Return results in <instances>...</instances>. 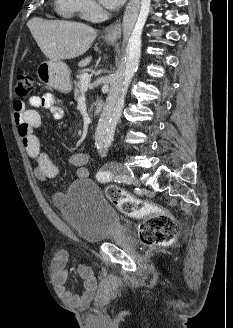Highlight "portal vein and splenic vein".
<instances>
[{"label": "portal vein and splenic vein", "instance_id": "18ae733b", "mask_svg": "<svg viewBox=\"0 0 233 328\" xmlns=\"http://www.w3.org/2000/svg\"><path fill=\"white\" fill-rule=\"evenodd\" d=\"M90 81H91V76L86 73H83L81 75V90H86L88 88Z\"/></svg>", "mask_w": 233, "mask_h": 328}]
</instances>
